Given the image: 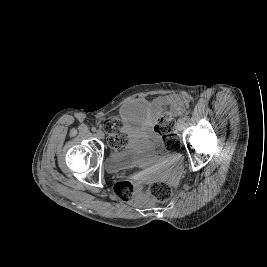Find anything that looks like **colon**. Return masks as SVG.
Here are the masks:
<instances>
[{
    "mask_svg": "<svg viewBox=\"0 0 267 267\" xmlns=\"http://www.w3.org/2000/svg\"><path fill=\"white\" fill-rule=\"evenodd\" d=\"M100 126L107 134V143L111 151L118 152L126 144L128 136L123 122L117 117H108L101 121ZM154 131L159 134L169 150L180 147V139L176 130V123L172 113H164L154 126ZM116 194L126 202H132L141 194L142 187L129 180L120 181L115 186ZM172 195L169 185L155 181L151 185V196L160 202L166 201Z\"/></svg>",
    "mask_w": 267,
    "mask_h": 267,
    "instance_id": "obj_1",
    "label": "colon"
}]
</instances>
